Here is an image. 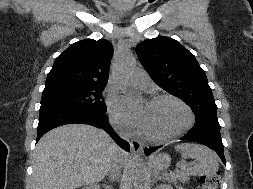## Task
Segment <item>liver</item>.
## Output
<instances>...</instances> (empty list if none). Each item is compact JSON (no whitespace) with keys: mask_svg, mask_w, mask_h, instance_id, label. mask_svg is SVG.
Instances as JSON below:
<instances>
[{"mask_svg":"<svg viewBox=\"0 0 253 189\" xmlns=\"http://www.w3.org/2000/svg\"><path fill=\"white\" fill-rule=\"evenodd\" d=\"M128 155L103 130L69 124L47 132L33 159L34 189H76L101 181L117 160Z\"/></svg>","mask_w":253,"mask_h":189,"instance_id":"6515ba94","label":"liver"}]
</instances>
